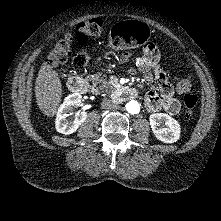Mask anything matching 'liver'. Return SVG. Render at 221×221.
<instances>
[{
	"label": "liver",
	"mask_w": 221,
	"mask_h": 221,
	"mask_svg": "<svg viewBox=\"0 0 221 221\" xmlns=\"http://www.w3.org/2000/svg\"><path fill=\"white\" fill-rule=\"evenodd\" d=\"M62 95V83L58 72L44 62L35 80L36 103L41 112L53 117L59 109Z\"/></svg>",
	"instance_id": "6515ba94"
}]
</instances>
